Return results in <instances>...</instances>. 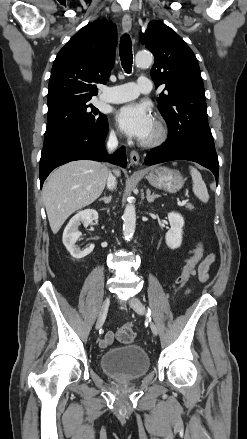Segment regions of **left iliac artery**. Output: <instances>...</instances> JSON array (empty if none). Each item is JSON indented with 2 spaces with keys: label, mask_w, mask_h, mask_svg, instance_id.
Masks as SVG:
<instances>
[{
  "label": "left iliac artery",
  "mask_w": 247,
  "mask_h": 439,
  "mask_svg": "<svg viewBox=\"0 0 247 439\" xmlns=\"http://www.w3.org/2000/svg\"><path fill=\"white\" fill-rule=\"evenodd\" d=\"M147 318H149V320H151V311L149 308L147 310Z\"/></svg>",
  "instance_id": "left-iliac-artery-1"
}]
</instances>
